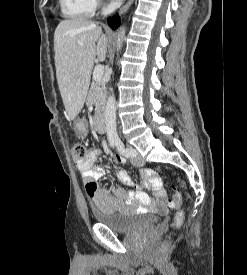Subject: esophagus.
<instances>
[{"instance_id": "1", "label": "esophagus", "mask_w": 247, "mask_h": 275, "mask_svg": "<svg viewBox=\"0 0 247 275\" xmlns=\"http://www.w3.org/2000/svg\"><path fill=\"white\" fill-rule=\"evenodd\" d=\"M134 0H128L126 4L120 9L119 13L122 14L128 10V8L132 5Z\"/></svg>"}]
</instances>
